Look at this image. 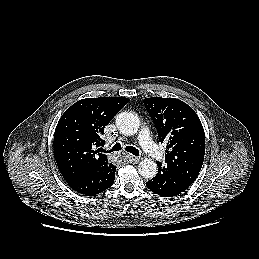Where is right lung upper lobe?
<instances>
[{
	"label": "right lung upper lobe",
	"instance_id": "1",
	"mask_svg": "<svg viewBox=\"0 0 259 259\" xmlns=\"http://www.w3.org/2000/svg\"><path fill=\"white\" fill-rule=\"evenodd\" d=\"M128 98L82 99L69 107L55 129L53 148L57 166L66 181L108 164L98 153L105 126L129 102Z\"/></svg>",
	"mask_w": 259,
	"mask_h": 259
}]
</instances>
